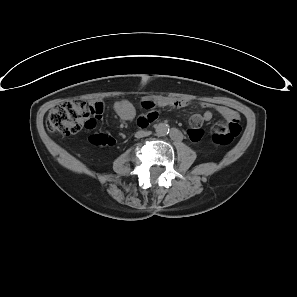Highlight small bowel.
<instances>
[{
    "label": "small bowel",
    "instance_id": "c3829d8e",
    "mask_svg": "<svg viewBox=\"0 0 297 297\" xmlns=\"http://www.w3.org/2000/svg\"><path fill=\"white\" fill-rule=\"evenodd\" d=\"M144 109L147 110V113L141 115L138 119V123L141 127H146L150 122L154 121L157 118V113L155 107H174V108H183L188 105V102L185 100H174L169 98H162L157 102L152 100H145L142 103ZM203 107H206L207 104L202 103ZM216 111L221 114L226 119H232L238 117L237 113L230 108L225 106H215ZM114 110L117 115L124 121H130L135 117V108L131 102L128 100H121L115 103ZM212 112L206 110L201 114H194L190 118L191 129L188 131V135L192 141H198L203 135V131L200 128L202 124L208 122L212 119Z\"/></svg>",
    "mask_w": 297,
    "mask_h": 297
}]
</instances>
